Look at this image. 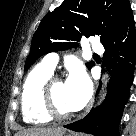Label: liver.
Segmentation results:
<instances>
[{
    "instance_id": "liver-1",
    "label": "liver",
    "mask_w": 136,
    "mask_h": 136,
    "mask_svg": "<svg viewBox=\"0 0 136 136\" xmlns=\"http://www.w3.org/2000/svg\"><path fill=\"white\" fill-rule=\"evenodd\" d=\"M65 132L63 128H31L18 132L15 136H54Z\"/></svg>"
}]
</instances>
